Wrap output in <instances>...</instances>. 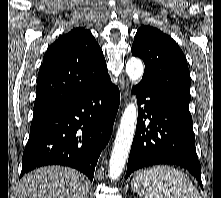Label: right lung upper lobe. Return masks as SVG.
Segmentation results:
<instances>
[{
  "mask_svg": "<svg viewBox=\"0 0 221 198\" xmlns=\"http://www.w3.org/2000/svg\"><path fill=\"white\" fill-rule=\"evenodd\" d=\"M102 50L83 27L61 35L47 50L38 73L33 117H38L108 79Z\"/></svg>",
  "mask_w": 221,
  "mask_h": 198,
  "instance_id": "right-lung-upper-lobe-1",
  "label": "right lung upper lobe"
}]
</instances>
